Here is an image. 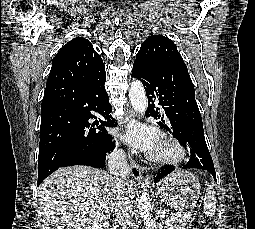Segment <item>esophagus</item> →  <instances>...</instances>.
Segmentation results:
<instances>
[{
    "label": "esophagus",
    "instance_id": "obj_1",
    "mask_svg": "<svg viewBox=\"0 0 255 229\" xmlns=\"http://www.w3.org/2000/svg\"><path fill=\"white\" fill-rule=\"evenodd\" d=\"M136 117V113L133 110H129L128 115L126 117V123L130 122ZM130 158V166L132 176L135 180L141 181L143 179V168L139 164H137L131 157Z\"/></svg>",
    "mask_w": 255,
    "mask_h": 229
}]
</instances>
